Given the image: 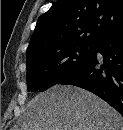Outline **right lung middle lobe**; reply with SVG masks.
I'll use <instances>...</instances> for the list:
<instances>
[{
    "mask_svg": "<svg viewBox=\"0 0 123 130\" xmlns=\"http://www.w3.org/2000/svg\"><path fill=\"white\" fill-rule=\"evenodd\" d=\"M94 50L93 44H78L27 61L28 91H45L73 73Z\"/></svg>",
    "mask_w": 123,
    "mask_h": 130,
    "instance_id": "right-lung-middle-lobe-1",
    "label": "right lung middle lobe"
}]
</instances>
